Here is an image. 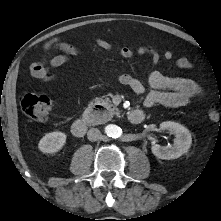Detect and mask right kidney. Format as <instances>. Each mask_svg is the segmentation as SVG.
Instances as JSON below:
<instances>
[{"instance_id":"1","label":"right kidney","mask_w":221,"mask_h":221,"mask_svg":"<svg viewBox=\"0 0 221 221\" xmlns=\"http://www.w3.org/2000/svg\"><path fill=\"white\" fill-rule=\"evenodd\" d=\"M66 142V135L63 132H51L47 133L41 138L38 144V148L43 153H55L58 152L64 146Z\"/></svg>"}]
</instances>
